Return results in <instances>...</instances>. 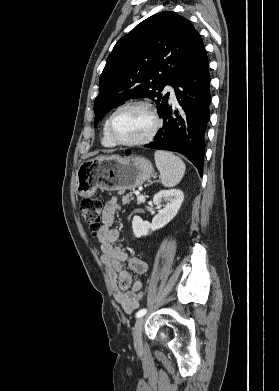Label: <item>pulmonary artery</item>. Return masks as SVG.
Returning a JSON list of instances; mask_svg holds the SVG:
<instances>
[{"instance_id":"obj_1","label":"pulmonary artery","mask_w":279,"mask_h":391,"mask_svg":"<svg viewBox=\"0 0 279 391\" xmlns=\"http://www.w3.org/2000/svg\"><path fill=\"white\" fill-rule=\"evenodd\" d=\"M165 90L170 93L172 102L176 103V96L173 87L168 85L166 86Z\"/></svg>"}]
</instances>
